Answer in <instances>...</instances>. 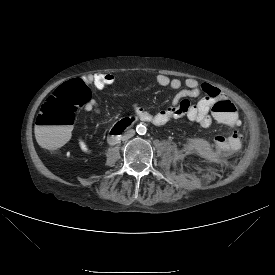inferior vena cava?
<instances>
[{
	"label": "inferior vena cava",
	"mask_w": 275,
	"mask_h": 275,
	"mask_svg": "<svg viewBox=\"0 0 275 275\" xmlns=\"http://www.w3.org/2000/svg\"><path fill=\"white\" fill-rule=\"evenodd\" d=\"M134 134H135V131L133 129H130L124 133V135L122 136V140L130 139L131 137L134 136Z\"/></svg>",
	"instance_id": "inferior-vena-cava-1"
}]
</instances>
